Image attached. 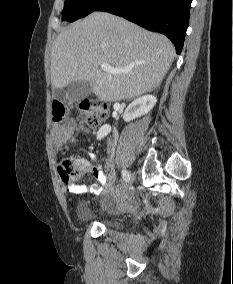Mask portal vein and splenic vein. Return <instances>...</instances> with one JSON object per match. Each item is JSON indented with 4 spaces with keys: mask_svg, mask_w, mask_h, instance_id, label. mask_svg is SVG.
Returning a JSON list of instances; mask_svg holds the SVG:
<instances>
[{
    "mask_svg": "<svg viewBox=\"0 0 233 284\" xmlns=\"http://www.w3.org/2000/svg\"><path fill=\"white\" fill-rule=\"evenodd\" d=\"M101 70L105 72H111V73H127L129 72V69H118V68H113L111 65L108 63H102L100 65Z\"/></svg>",
    "mask_w": 233,
    "mask_h": 284,
    "instance_id": "portal-vein-and-splenic-vein-1",
    "label": "portal vein and splenic vein"
}]
</instances>
